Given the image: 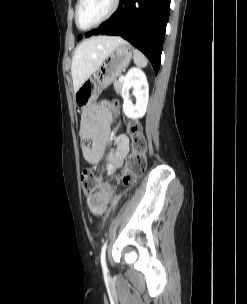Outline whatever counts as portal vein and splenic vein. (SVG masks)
<instances>
[{
  "mask_svg": "<svg viewBox=\"0 0 247 304\" xmlns=\"http://www.w3.org/2000/svg\"><path fill=\"white\" fill-rule=\"evenodd\" d=\"M123 79H124L123 76L119 77V81H123Z\"/></svg>",
  "mask_w": 247,
  "mask_h": 304,
  "instance_id": "obj_1",
  "label": "portal vein and splenic vein"
}]
</instances>
